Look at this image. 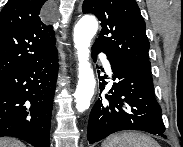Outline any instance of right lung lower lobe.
Here are the masks:
<instances>
[{
	"label": "right lung lower lobe",
	"mask_w": 183,
	"mask_h": 147,
	"mask_svg": "<svg viewBox=\"0 0 183 147\" xmlns=\"http://www.w3.org/2000/svg\"><path fill=\"white\" fill-rule=\"evenodd\" d=\"M58 54L0 75V137L49 147Z\"/></svg>",
	"instance_id": "1"
}]
</instances>
